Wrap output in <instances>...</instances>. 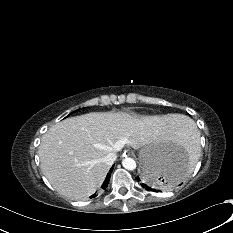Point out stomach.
Listing matches in <instances>:
<instances>
[{"label":"stomach","mask_w":233,"mask_h":233,"mask_svg":"<svg viewBox=\"0 0 233 233\" xmlns=\"http://www.w3.org/2000/svg\"><path fill=\"white\" fill-rule=\"evenodd\" d=\"M139 157L140 175L146 183L154 187L171 185L179 177L185 176L189 166L185 154L166 141L156 140L144 144L139 150Z\"/></svg>","instance_id":"stomach-1"}]
</instances>
